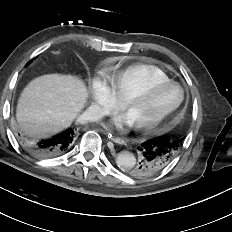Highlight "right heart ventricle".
<instances>
[{
    "mask_svg": "<svg viewBox=\"0 0 232 232\" xmlns=\"http://www.w3.org/2000/svg\"><path fill=\"white\" fill-rule=\"evenodd\" d=\"M104 75L108 79L113 93L121 102L136 92L170 80L161 68L141 63L124 68L105 65Z\"/></svg>",
    "mask_w": 232,
    "mask_h": 232,
    "instance_id": "right-heart-ventricle-1",
    "label": "right heart ventricle"
}]
</instances>
